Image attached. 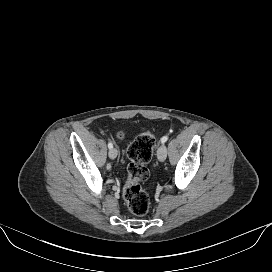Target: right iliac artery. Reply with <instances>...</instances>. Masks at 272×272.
<instances>
[{
  "label": "right iliac artery",
  "instance_id": "1",
  "mask_svg": "<svg viewBox=\"0 0 272 272\" xmlns=\"http://www.w3.org/2000/svg\"><path fill=\"white\" fill-rule=\"evenodd\" d=\"M108 147L111 149L113 147V144L111 142H109Z\"/></svg>",
  "mask_w": 272,
  "mask_h": 272
}]
</instances>
